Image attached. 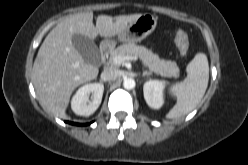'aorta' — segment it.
I'll return each mask as SVG.
<instances>
[{"instance_id": "obj_1", "label": "aorta", "mask_w": 248, "mask_h": 165, "mask_svg": "<svg viewBox=\"0 0 248 165\" xmlns=\"http://www.w3.org/2000/svg\"><path fill=\"white\" fill-rule=\"evenodd\" d=\"M123 86L127 90L133 89L135 87V80L133 78H125Z\"/></svg>"}]
</instances>
